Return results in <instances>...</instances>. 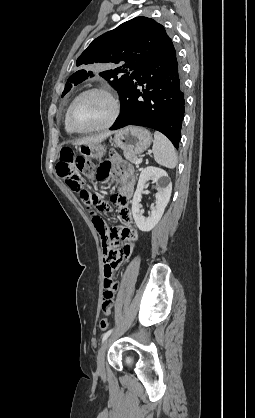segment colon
Wrapping results in <instances>:
<instances>
[{"mask_svg": "<svg viewBox=\"0 0 255 418\" xmlns=\"http://www.w3.org/2000/svg\"><path fill=\"white\" fill-rule=\"evenodd\" d=\"M56 170L58 175L65 179L67 185L72 190L80 193V198L88 207L97 229L106 227L103 219L98 215V210L103 205L102 200L92 191L83 188L85 179L95 174L94 164L81 156H77L73 149L64 147L60 151ZM99 327L101 330H105L108 327L107 318L103 317L100 319Z\"/></svg>", "mask_w": 255, "mask_h": 418, "instance_id": "5ec220e1", "label": "colon"}]
</instances>
